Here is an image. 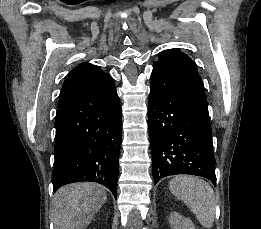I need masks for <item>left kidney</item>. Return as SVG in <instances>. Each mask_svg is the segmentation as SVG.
<instances>
[{
  "instance_id": "5707ae66",
  "label": "left kidney",
  "mask_w": 261,
  "mask_h": 229,
  "mask_svg": "<svg viewBox=\"0 0 261 229\" xmlns=\"http://www.w3.org/2000/svg\"><path fill=\"white\" fill-rule=\"evenodd\" d=\"M168 221L171 229H195V225H193L191 219H186V217H182L180 213H175V211L170 213Z\"/></svg>"
}]
</instances>
